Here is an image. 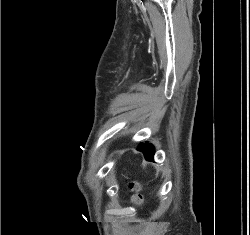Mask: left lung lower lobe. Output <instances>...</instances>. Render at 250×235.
Here are the masks:
<instances>
[{"mask_svg":"<svg viewBox=\"0 0 250 235\" xmlns=\"http://www.w3.org/2000/svg\"><path fill=\"white\" fill-rule=\"evenodd\" d=\"M138 150L144 154L146 160H153L154 147L150 143H142L139 145Z\"/></svg>","mask_w":250,"mask_h":235,"instance_id":"obj_1","label":"left lung lower lobe"}]
</instances>
